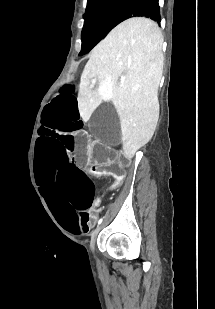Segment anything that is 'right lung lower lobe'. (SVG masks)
<instances>
[{
	"label": "right lung lower lobe",
	"instance_id": "obj_1",
	"mask_svg": "<svg viewBox=\"0 0 215 309\" xmlns=\"http://www.w3.org/2000/svg\"><path fill=\"white\" fill-rule=\"evenodd\" d=\"M147 17L160 23V8L158 0H130L121 16L116 21L120 22L132 17Z\"/></svg>",
	"mask_w": 215,
	"mask_h": 309
}]
</instances>
